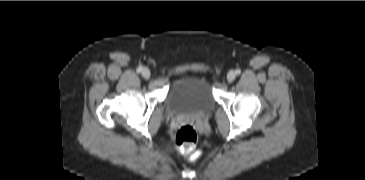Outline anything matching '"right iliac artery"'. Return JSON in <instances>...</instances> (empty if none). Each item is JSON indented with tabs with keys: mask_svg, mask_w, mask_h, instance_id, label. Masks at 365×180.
Masks as SVG:
<instances>
[{
	"mask_svg": "<svg viewBox=\"0 0 365 180\" xmlns=\"http://www.w3.org/2000/svg\"><path fill=\"white\" fill-rule=\"evenodd\" d=\"M142 69H143V68H142L141 66H140V67H138L137 72H139V73H140V72L142 71Z\"/></svg>",
	"mask_w": 365,
	"mask_h": 180,
	"instance_id": "right-iliac-artery-1",
	"label": "right iliac artery"
}]
</instances>
